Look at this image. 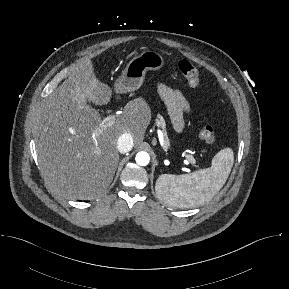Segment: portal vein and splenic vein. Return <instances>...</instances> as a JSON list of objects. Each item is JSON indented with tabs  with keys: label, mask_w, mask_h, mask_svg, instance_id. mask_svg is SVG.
<instances>
[{
	"label": "portal vein and splenic vein",
	"mask_w": 289,
	"mask_h": 289,
	"mask_svg": "<svg viewBox=\"0 0 289 289\" xmlns=\"http://www.w3.org/2000/svg\"><path fill=\"white\" fill-rule=\"evenodd\" d=\"M116 116L115 115H109L103 120V124L105 127L112 126L115 123ZM186 159L188 162H190L192 165L196 164V160L192 155H187Z\"/></svg>",
	"instance_id": "18ae733b"
}]
</instances>
